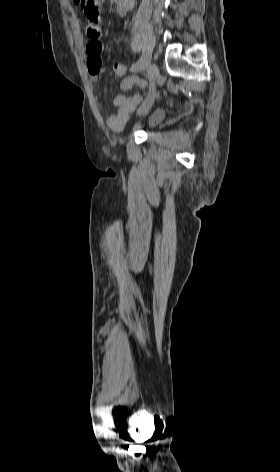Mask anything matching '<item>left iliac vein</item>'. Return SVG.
<instances>
[{
    "label": "left iliac vein",
    "mask_w": 280,
    "mask_h": 472,
    "mask_svg": "<svg viewBox=\"0 0 280 472\" xmlns=\"http://www.w3.org/2000/svg\"><path fill=\"white\" fill-rule=\"evenodd\" d=\"M158 76H159L158 67L154 63L150 64L147 70V77L150 83V92L141 107L142 112H146L147 110H149L154 103V99L156 95L155 84H156Z\"/></svg>",
    "instance_id": "left-iliac-vein-1"
}]
</instances>
